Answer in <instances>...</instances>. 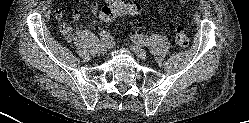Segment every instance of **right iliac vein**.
<instances>
[{
    "label": "right iliac vein",
    "instance_id": "1",
    "mask_svg": "<svg viewBox=\"0 0 249 123\" xmlns=\"http://www.w3.org/2000/svg\"><path fill=\"white\" fill-rule=\"evenodd\" d=\"M109 49V46L107 43H101L99 46L100 53L104 54Z\"/></svg>",
    "mask_w": 249,
    "mask_h": 123
}]
</instances>
